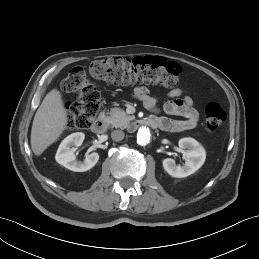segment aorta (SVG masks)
I'll use <instances>...</instances> for the list:
<instances>
[{
  "label": "aorta",
  "instance_id": "1",
  "mask_svg": "<svg viewBox=\"0 0 259 259\" xmlns=\"http://www.w3.org/2000/svg\"><path fill=\"white\" fill-rule=\"evenodd\" d=\"M151 139V132L148 127L142 126L137 131V143L139 145H147Z\"/></svg>",
  "mask_w": 259,
  "mask_h": 259
}]
</instances>
